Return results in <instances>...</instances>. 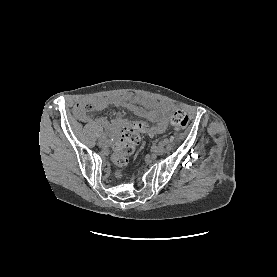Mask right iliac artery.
<instances>
[{
	"label": "right iliac artery",
	"instance_id": "82829eb1",
	"mask_svg": "<svg viewBox=\"0 0 277 277\" xmlns=\"http://www.w3.org/2000/svg\"><path fill=\"white\" fill-rule=\"evenodd\" d=\"M107 136H108V133L103 132V133L100 135V138H107Z\"/></svg>",
	"mask_w": 277,
	"mask_h": 277
}]
</instances>
